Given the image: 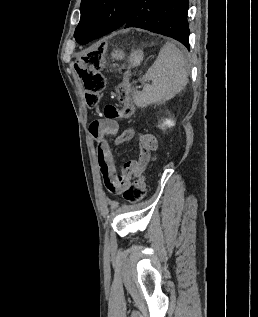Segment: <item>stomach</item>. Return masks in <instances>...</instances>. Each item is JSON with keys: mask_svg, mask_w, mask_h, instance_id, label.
Segmentation results:
<instances>
[{"mask_svg": "<svg viewBox=\"0 0 258 317\" xmlns=\"http://www.w3.org/2000/svg\"><path fill=\"white\" fill-rule=\"evenodd\" d=\"M124 54L122 50H113L112 58H123ZM144 58L143 50L138 48V50H132L130 54V64L131 66H138Z\"/></svg>", "mask_w": 258, "mask_h": 317, "instance_id": "stomach-1", "label": "stomach"}]
</instances>
